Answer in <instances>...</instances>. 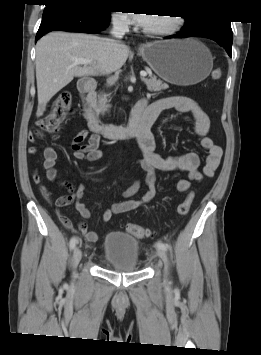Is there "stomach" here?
<instances>
[{
  "label": "stomach",
  "instance_id": "obj_1",
  "mask_svg": "<svg viewBox=\"0 0 261 355\" xmlns=\"http://www.w3.org/2000/svg\"><path fill=\"white\" fill-rule=\"evenodd\" d=\"M139 53L159 77L175 85L197 84L213 68L211 52L194 38L147 43Z\"/></svg>",
  "mask_w": 261,
  "mask_h": 355
}]
</instances>
